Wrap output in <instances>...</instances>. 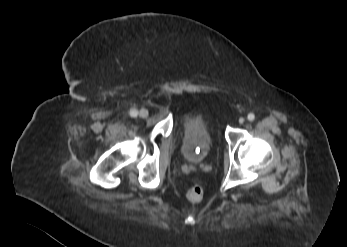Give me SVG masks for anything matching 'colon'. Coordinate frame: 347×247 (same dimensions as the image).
<instances>
[{"instance_id":"obj_1","label":"colon","mask_w":347,"mask_h":247,"mask_svg":"<svg viewBox=\"0 0 347 247\" xmlns=\"http://www.w3.org/2000/svg\"><path fill=\"white\" fill-rule=\"evenodd\" d=\"M204 190L199 184L192 185L186 192V197L191 202H199L203 199Z\"/></svg>"}]
</instances>
